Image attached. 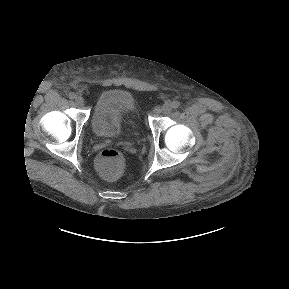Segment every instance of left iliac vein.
I'll return each mask as SVG.
<instances>
[{
  "instance_id": "1",
  "label": "left iliac vein",
  "mask_w": 289,
  "mask_h": 289,
  "mask_svg": "<svg viewBox=\"0 0 289 289\" xmlns=\"http://www.w3.org/2000/svg\"><path fill=\"white\" fill-rule=\"evenodd\" d=\"M171 105L169 103H165L161 106L160 112L163 114H168L171 111Z\"/></svg>"
}]
</instances>
